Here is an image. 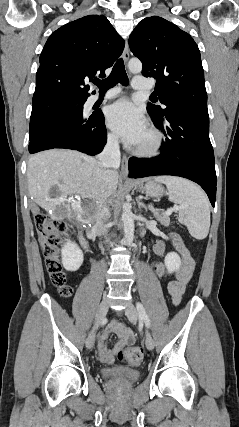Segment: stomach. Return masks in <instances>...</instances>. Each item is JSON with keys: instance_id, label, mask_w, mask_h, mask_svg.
Masks as SVG:
<instances>
[{"instance_id": "obj_1", "label": "stomach", "mask_w": 239, "mask_h": 427, "mask_svg": "<svg viewBox=\"0 0 239 427\" xmlns=\"http://www.w3.org/2000/svg\"><path fill=\"white\" fill-rule=\"evenodd\" d=\"M134 186L142 194H146L149 197L159 198L164 195V187L158 182L151 179H144L134 183Z\"/></svg>"}]
</instances>
